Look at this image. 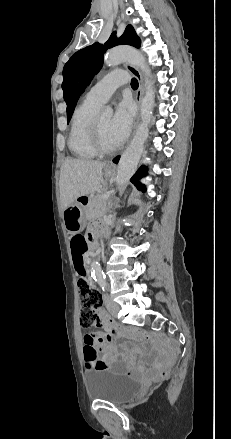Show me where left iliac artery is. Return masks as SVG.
<instances>
[{"label": "left iliac artery", "mask_w": 231, "mask_h": 439, "mask_svg": "<svg viewBox=\"0 0 231 439\" xmlns=\"http://www.w3.org/2000/svg\"><path fill=\"white\" fill-rule=\"evenodd\" d=\"M98 284L100 285V287L102 288L103 291H105L106 289V280L105 277H100L98 278Z\"/></svg>", "instance_id": "left-iliac-artery-1"}]
</instances>
